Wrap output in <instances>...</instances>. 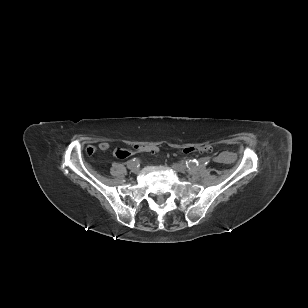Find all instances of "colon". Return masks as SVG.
Wrapping results in <instances>:
<instances>
[{
    "mask_svg": "<svg viewBox=\"0 0 308 308\" xmlns=\"http://www.w3.org/2000/svg\"><path fill=\"white\" fill-rule=\"evenodd\" d=\"M157 146L156 145H147L144 143H138L135 144L132 147H128V148H116L115 149V156L118 157L119 160H126L127 157H133V156H137L140 154H149V155H153L157 153ZM211 151V147L210 146H196V147H187L183 150V152L185 154H193V153H205V152H210ZM94 152L93 148H88L87 149V153L88 154H92Z\"/></svg>",
    "mask_w": 308,
    "mask_h": 308,
    "instance_id": "5ec220e1",
    "label": "colon"
}]
</instances>
